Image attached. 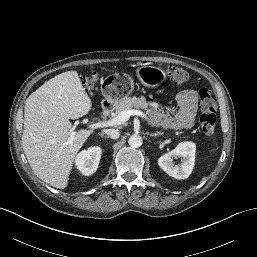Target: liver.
I'll return each instance as SVG.
<instances>
[{
  "instance_id": "6515ba94",
  "label": "liver",
  "mask_w": 257,
  "mask_h": 257,
  "mask_svg": "<svg viewBox=\"0 0 257 257\" xmlns=\"http://www.w3.org/2000/svg\"><path fill=\"white\" fill-rule=\"evenodd\" d=\"M91 107L76 71L51 78L27 98L22 147L35 175L47 184L67 187L76 155L92 134L72 130L69 119L83 117Z\"/></svg>"
}]
</instances>
